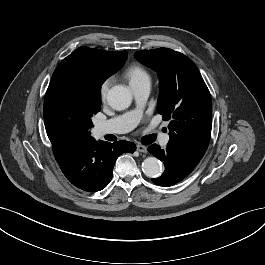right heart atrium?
<instances>
[{"instance_id": "right-heart-atrium-1", "label": "right heart atrium", "mask_w": 265, "mask_h": 265, "mask_svg": "<svg viewBox=\"0 0 265 265\" xmlns=\"http://www.w3.org/2000/svg\"><path fill=\"white\" fill-rule=\"evenodd\" d=\"M110 85H111V80L110 79L105 80L101 84V86H100V96H101L102 100L106 99V96H107V93H108Z\"/></svg>"}]
</instances>
